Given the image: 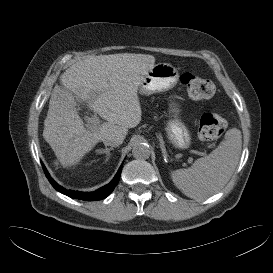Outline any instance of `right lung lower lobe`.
<instances>
[{"label":"right lung lower lobe","mask_w":273,"mask_h":273,"mask_svg":"<svg viewBox=\"0 0 273 273\" xmlns=\"http://www.w3.org/2000/svg\"><path fill=\"white\" fill-rule=\"evenodd\" d=\"M42 166H43L44 172L46 174V177L48 178V180L50 181L52 186L57 191H59L62 194H65L71 198L84 200V201H96V200H102V199L106 198L114 190L115 186L117 185V183L120 179L121 171H122V165H121L118 172L116 173L114 179L108 185H106L94 192H79V191L67 190V189L63 188L62 186L58 185L50 177V175H49L47 169L45 168V166L43 165V163H42Z\"/></svg>","instance_id":"98d812e1"}]
</instances>
